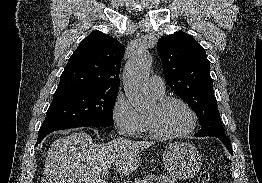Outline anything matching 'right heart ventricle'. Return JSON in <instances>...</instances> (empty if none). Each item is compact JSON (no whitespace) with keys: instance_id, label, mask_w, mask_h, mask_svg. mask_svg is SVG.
Returning <instances> with one entry per match:
<instances>
[{"instance_id":"right-heart-ventricle-1","label":"right heart ventricle","mask_w":262,"mask_h":183,"mask_svg":"<svg viewBox=\"0 0 262 183\" xmlns=\"http://www.w3.org/2000/svg\"><path fill=\"white\" fill-rule=\"evenodd\" d=\"M162 97H160L159 99H161ZM142 133H148V128H147V123H146V118L143 117V126L141 129Z\"/></svg>"}]
</instances>
